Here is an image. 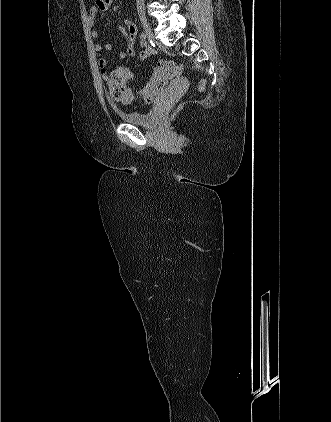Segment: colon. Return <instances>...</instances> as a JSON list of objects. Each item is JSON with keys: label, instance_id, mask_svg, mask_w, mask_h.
Listing matches in <instances>:
<instances>
[{"label": "colon", "instance_id": "1", "mask_svg": "<svg viewBox=\"0 0 331 422\" xmlns=\"http://www.w3.org/2000/svg\"><path fill=\"white\" fill-rule=\"evenodd\" d=\"M182 72V66L172 61L161 60L158 62L155 69V77L163 81L178 77ZM132 73L129 69L120 67L113 70L109 75L107 83L111 97L118 101H126L132 98V92L128 86L129 80L132 78ZM203 88V84L200 85Z\"/></svg>", "mask_w": 331, "mask_h": 422}]
</instances>
